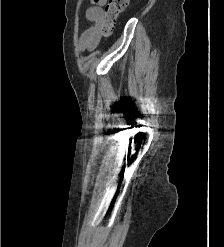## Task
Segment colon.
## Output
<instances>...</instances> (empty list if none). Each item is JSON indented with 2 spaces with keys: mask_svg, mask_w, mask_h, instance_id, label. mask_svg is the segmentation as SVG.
Returning <instances> with one entry per match:
<instances>
[{
  "mask_svg": "<svg viewBox=\"0 0 224 247\" xmlns=\"http://www.w3.org/2000/svg\"><path fill=\"white\" fill-rule=\"evenodd\" d=\"M130 0H109L99 29L103 37H109L117 23L118 16L127 8Z\"/></svg>",
  "mask_w": 224,
  "mask_h": 247,
  "instance_id": "1",
  "label": "colon"
}]
</instances>
